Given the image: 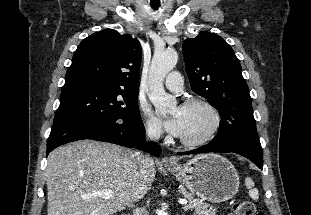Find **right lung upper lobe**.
I'll return each instance as SVG.
<instances>
[{
    "label": "right lung upper lobe",
    "mask_w": 311,
    "mask_h": 215,
    "mask_svg": "<svg viewBox=\"0 0 311 215\" xmlns=\"http://www.w3.org/2000/svg\"><path fill=\"white\" fill-rule=\"evenodd\" d=\"M141 59L137 39L113 29L96 32L79 44L64 86L85 83L138 90Z\"/></svg>",
    "instance_id": "obj_1"
}]
</instances>
